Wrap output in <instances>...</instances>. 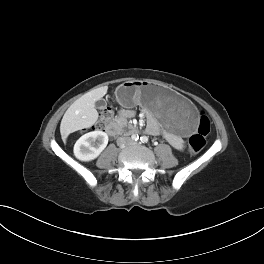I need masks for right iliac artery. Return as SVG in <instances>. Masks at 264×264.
Returning <instances> with one entry per match:
<instances>
[{
  "mask_svg": "<svg viewBox=\"0 0 264 264\" xmlns=\"http://www.w3.org/2000/svg\"><path fill=\"white\" fill-rule=\"evenodd\" d=\"M131 138H132V140L137 141L139 139V135L138 134H133L131 136Z\"/></svg>",
  "mask_w": 264,
  "mask_h": 264,
  "instance_id": "82829eb1",
  "label": "right iliac artery"
}]
</instances>
